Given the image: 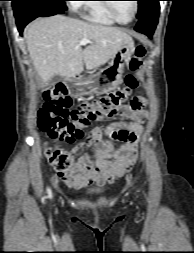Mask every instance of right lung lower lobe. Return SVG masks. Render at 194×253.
<instances>
[{
	"label": "right lung lower lobe",
	"mask_w": 194,
	"mask_h": 253,
	"mask_svg": "<svg viewBox=\"0 0 194 253\" xmlns=\"http://www.w3.org/2000/svg\"><path fill=\"white\" fill-rule=\"evenodd\" d=\"M66 10L57 7L53 4H37V5H30L26 6L21 9L17 14H15L17 27L19 30L20 35L23 32L24 27L33 19L37 17H46L52 16L55 14H62Z\"/></svg>",
	"instance_id": "1"
}]
</instances>
